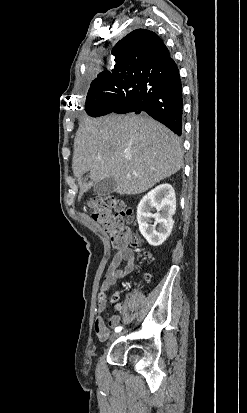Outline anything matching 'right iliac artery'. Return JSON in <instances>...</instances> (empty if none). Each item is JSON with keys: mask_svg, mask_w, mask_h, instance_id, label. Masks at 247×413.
Listing matches in <instances>:
<instances>
[{"mask_svg": "<svg viewBox=\"0 0 247 413\" xmlns=\"http://www.w3.org/2000/svg\"><path fill=\"white\" fill-rule=\"evenodd\" d=\"M121 330H122V327L120 326L115 328V332H120Z\"/></svg>", "mask_w": 247, "mask_h": 413, "instance_id": "obj_1", "label": "right iliac artery"}]
</instances>
